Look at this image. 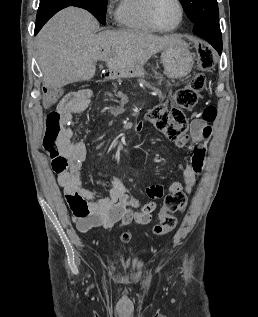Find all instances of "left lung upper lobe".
Here are the masks:
<instances>
[{"mask_svg":"<svg viewBox=\"0 0 258 317\" xmlns=\"http://www.w3.org/2000/svg\"><path fill=\"white\" fill-rule=\"evenodd\" d=\"M186 15L194 27L219 26V10L216 0H180Z\"/></svg>","mask_w":258,"mask_h":317,"instance_id":"5c2ea615","label":"left lung upper lobe"}]
</instances>
